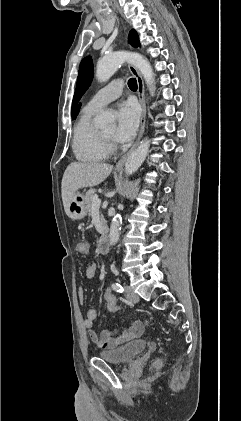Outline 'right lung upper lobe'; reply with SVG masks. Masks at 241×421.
<instances>
[{
    "label": "right lung upper lobe",
    "mask_w": 241,
    "mask_h": 421,
    "mask_svg": "<svg viewBox=\"0 0 241 421\" xmlns=\"http://www.w3.org/2000/svg\"><path fill=\"white\" fill-rule=\"evenodd\" d=\"M79 108H80V105L78 106V109H77V114H78Z\"/></svg>",
    "instance_id": "cb5924a9"
}]
</instances>
